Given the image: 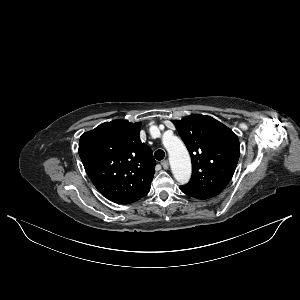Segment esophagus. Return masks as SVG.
Returning <instances> with one entry per match:
<instances>
[{
  "label": "esophagus",
  "mask_w": 300,
  "mask_h": 300,
  "mask_svg": "<svg viewBox=\"0 0 300 300\" xmlns=\"http://www.w3.org/2000/svg\"><path fill=\"white\" fill-rule=\"evenodd\" d=\"M161 165L164 169H168L169 168V162L168 160H164L161 162Z\"/></svg>",
  "instance_id": "obj_1"
}]
</instances>
